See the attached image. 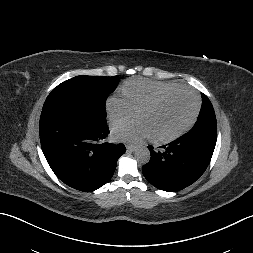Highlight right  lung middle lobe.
Here are the masks:
<instances>
[{
  "instance_id": "right-lung-middle-lobe-1",
  "label": "right lung middle lobe",
  "mask_w": 253,
  "mask_h": 253,
  "mask_svg": "<svg viewBox=\"0 0 253 253\" xmlns=\"http://www.w3.org/2000/svg\"><path fill=\"white\" fill-rule=\"evenodd\" d=\"M119 83L118 76H76L59 84L48 95L43 110L67 106L105 119V102Z\"/></svg>"
}]
</instances>
